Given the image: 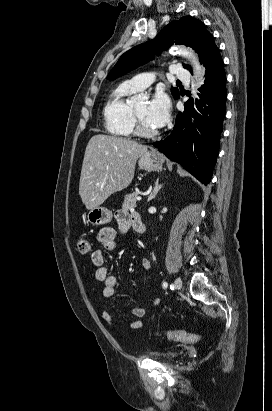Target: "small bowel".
<instances>
[{
	"label": "small bowel",
	"mask_w": 272,
	"mask_h": 411,
	"mask_svg": "<svg viewBox=\"0 0 272 411\" xmlns=\"http://www.w3.org/2000/svg\"><path fill=\"white\" fill-rule=\"evenodd\" d=\"M135 214H130L128 211H120L116 213V221L118 223V230L112 227H104L98 233V241L102 244L104 249L108 251H114L118 246V238L120 235H124L131 228L134 229L132 218ZM91 260L96 267L95 276L96 279L103 283L102 294L105 298H111L116 294L118 281L117 278L110 274L105 264L103 251L100 249L94 250L91 253ZM141 267L144 271L150 272L153 268V263L149 259L141 260ZM160 304V299L156 298L153 302V306L156 307ZM135 319L129 322V328L134 330H140L144 324L141 318L145 316L146 309L142 307H132L127 310ZM102 318L105 322L113 324V317L110 312L104 310L102 312ZM118 329L123 330L124 327L118 325Z\"/></svg>",
	"instance_id": "1"
}]
</instances>
